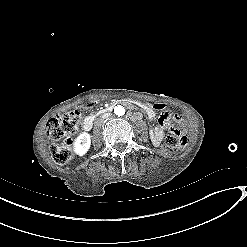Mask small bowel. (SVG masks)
Segmentation results:
<instances>
[{
  "label": "small bowel",
  "instance_id": "small-bowel-1",
  "mask_svg": "<svg viewBox=\"0 0 247 247\" xmlns=\"http://www.w3.org/2000/svg\"><path fill=\"white\" fill-rule=\"evenodd\" d=\"M142 109L150 120L155 119L157 112H159L153 108L152 104H144ZM174 120L183 123V119L178 116H174ZM163 128L164 126L159 123L151 129V140L154 145H159L162 142L164 137Z\"/></svg>",
  "mask_w": 247,
  "mask_h": 247
}]
</instances>
